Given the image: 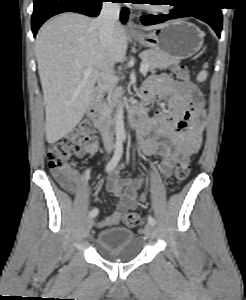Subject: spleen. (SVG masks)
<instances>
[{
    "mask_svg": "<svg viewBox=\"0 0 246 300\" xmlns=\"http://www.w3.org/2000/svg\"><path fill=\"white\" fill-rule=\"evenodd\" d=\"M206 68H208V63H205L203 65V70L199 72V74L197 75V81L198 82H204L208 76L207 71L205 70Z\"/></svg>",
    "mask_w": 246,
    "mask_h": 300,
    "instance_id": "spleen-1",
    "label": "spleen"
}]
</instances>
